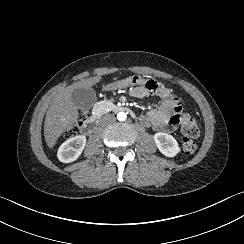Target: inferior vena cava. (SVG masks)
<instances>
[{
    "mask_svg": "<svg viewBox=\"0 0 244 244\" xmlns=\"http://www.w3.org/2000/svg\"><path fill=\"white\" fill-rule=\"evenodd\" d=\"M107 120H110V122H115L116 118L112 115H109L106 117Z\"/></svg>",
    "mask_w": 244,
    "mask_h": 244,
    "instance_id": "1",
    "label": "inferior vena cava"
}]
</instances>
